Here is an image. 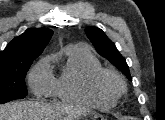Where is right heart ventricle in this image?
Instances as JSON below:
<instances>
[{"label":"right heart ventricle","instance_id":"right-heart-ventricle-1","mask_svg":"<svg viewBox=\"0 0 165 120\" xmlns=\"http://www.w3.org/2000/svg\"><path fill=\"white\" fill-rule=\"evenodd\" d=\"M98 58L84 47H68L61 58L60 73L53 78L51 94L64 103L111 108L116 99L95 94L92 75L101 69Z\"/></svg>","mask_w":165,"mask_h":120}]
</instances>
